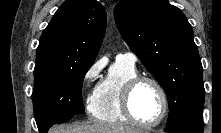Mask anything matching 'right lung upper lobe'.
Wrapping results in <instances>:
<instances>
[{
    "label": "right lung upper lobe",
    "instance_id": "obj_1",
    "mask_svg": "<svg viewBox=\"0 0 221 133\" xmlns=\"http://www.w3.org/2000/svg\"><path fill=\"white\" fill-rule=\"evenodd\" d=\"M106 29V11L96 0H66L43 31L34 71L94 62Z\"/></svg>",
    "mask_w": 221,
    "mask_h": 133
}]
</instances>
